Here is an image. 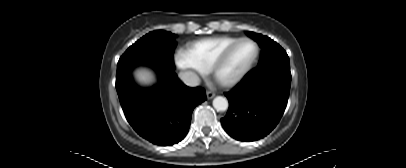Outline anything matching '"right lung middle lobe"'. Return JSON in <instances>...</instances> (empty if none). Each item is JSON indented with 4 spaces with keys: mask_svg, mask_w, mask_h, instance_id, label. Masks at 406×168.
Masks as SVG:
<instances>
[{
    "mask_svg": "<svg viewBox=\"0 0 406 168\" xmlns=\"http://www.w3.org/2000/svg\"><path fill=\"white\" fill-rule=\"evenodd\" d=\"M176 46L175 35L166 31H153L130 46L117 64V79H123L140 65L160 70L174 69L173 51Z\"/></svg>",
    "mask_w": 406,
    "mask_h": 168,
    "instance_id": "right-lung-middle-lobe-1",
    "label": "right lung middle lobe"
}]
</instances>
